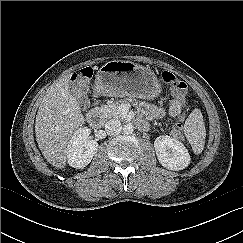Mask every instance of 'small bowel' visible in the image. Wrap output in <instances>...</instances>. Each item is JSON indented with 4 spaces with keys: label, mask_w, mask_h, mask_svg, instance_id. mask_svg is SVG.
Masks as SVG:
<instances>
[{
    "label": "small bowel",
    "mask_w": 243,
    "mask_h": 243,
    "mask_svg": "<svg viewBox=\"0 0 243 243\" xmlns=\"http://www.w3.org/2000/svg\"><path fill=\"white\" fill-rule=\"evenodd\" d=\"M184 100H185V96H184ZM183 105H184V101L180 102L179 99L175 97L170 103L169 114L172 117L178 116L182 111ZM146 114L149 118H158L163 115V111L160 108H157L155 106H148L146 108Z\"/></svg>",
    "instance_id": "small-bowel-1"
}]
</instances>
